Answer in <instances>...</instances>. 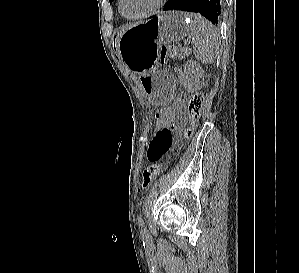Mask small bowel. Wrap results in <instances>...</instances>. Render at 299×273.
I'll list each match as a JSON object with an SVG mask.
<instances>
[{"label": "small bowel", "mask_w": 299, "mask_h": 273, "mask_svg": "<svg viewBox=\"0 0 299 273\" xmlns=\"http://www.w3.org/2000/svg\"><path fill=\"white\" fill-rule=\"evenodd\" d=\"M187 122L181 102V110L176 119L166 128L157 129L147 147V158L150 162L159 161L172 147L174 141L180 138L182 130Z\"/></svg>", "instance_id": "obj_1"}]
</instances>
